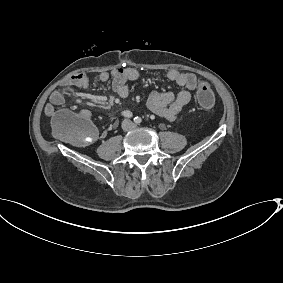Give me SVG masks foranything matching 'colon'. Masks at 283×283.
<instances>
[{"label": "colon", "instance_id": "1", "mask_svg": "<svg viewBox=\"0 0 283 283\" xmlns=\"http://www.w3.org/2000/svg\"><path fill=\"white\" fill-rule=\"evenodd\" d=\"M197 100L203 109H210L215 103L214 93L208 83L197 81ZM54 133L74 144L87 145L92 143L97 132L91 121L80 113L61 110L55 113L52 120Z\"/></svg>", "mask_w": 283, "mask_h": 283}]
</instances>
